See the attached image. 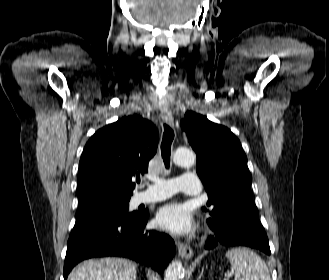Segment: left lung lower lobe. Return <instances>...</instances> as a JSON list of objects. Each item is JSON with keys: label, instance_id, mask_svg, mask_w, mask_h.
Here are the masks:
<instances>
[{"label": "left lung lower lobe", "instance_id": "0a47b994", "mask_svg": "<svg viewBox=\"0 0 329 280\" xmlns=\"http://www.w3.org/2000/svg\"><path fill=\"white\" fill-rule=\"evenodd\" d=\"M217 243L226 246H249L271 254L267 235L259 221L258 209L251 197L239 201L229 211L222 229L206 248H214Z\"/></svg>", "mask_w": 329, "mask_h": 280}]
</instances>
